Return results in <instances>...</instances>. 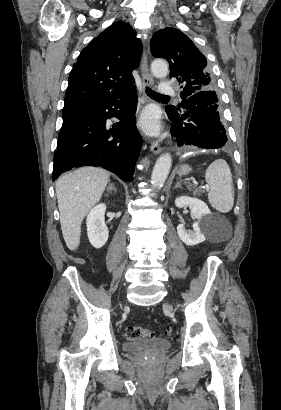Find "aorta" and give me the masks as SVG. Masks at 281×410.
Instances as JSON below:
<instances>
[{"label": "aorta", "mask_w": 281, "mask_h": 410, "mask_svg": "<svg viewBox=\"0 0 281 410\" xmlns=\"http://www.w3.org/2000/svg\"><path fill=\"white\" fill-rule=\"evenodd\" d=\"M151 71L154 76L158 78H164L169 73L168 65L163 60H155L151 64ZM171 155L168 153L162 154L156 161L152 176L151 183L153 187L160 188L164 185L171 168Z\"/></svg>", "instance_id": "aorta-1"}]
</instances>
